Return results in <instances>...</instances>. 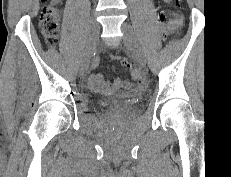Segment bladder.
<instances>
[{
    "mask_svg": "<svg viewBox=\"0 0 231 177\" xmlns=\"http://www.w3.org/2000/svg\"><path fill=\"white\" fill-rule=\"evenodd\" d=\"M118 100H119V97H110V98H106V99L102 102V104H103L104 106H107V105H110V104H112V103L117 102Z\"/></svg>",
    "mask_w": 231,
    "mask_h": 177,
    "instance_id": "obj_1",
    "label": "bladder"
}]
</instances>
